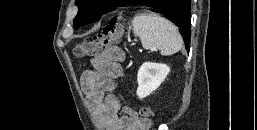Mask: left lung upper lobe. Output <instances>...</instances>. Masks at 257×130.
<instances>
[{
	"label": "left lung upper lobe",
	"instance_id": "left-lung-upper-lobe-1",
	"mask_svg": "<svg viewBox=\"0 0 257 130\" xmlns=\"http://www.w3.org/2000/svg\"><path fill=\"white\" fill-rule=\"evenodd\" d=\"M136 0H76L79 8L74 19V28L97 21L102 14L125 3L135 4Z\"/></svg>",
	"mask_w": 257,
	"mask_h": 130
}]
</instances>
